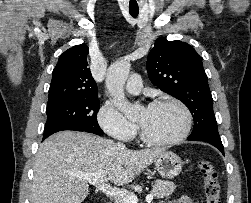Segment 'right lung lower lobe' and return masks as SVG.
I'll return each mask as SVG.
<instances>
[{
    "label": "right lung lower lobe",
    "instance_id": "98d812e1",
    "mask_svg": "<svg viewBox=\"0 0 251 203\" xmlns=\"http://www.w3.org/2000/svg\"><path fill=\"white\" fill-rule=\"evenodd\" d=\"M69 130H75V131H85L83 129H78V128H72V129H69ZM58 132V131H57ZM86 132V131H85ZM55 132H51V133H46L43 135V140H45L48 136H50L51 134H53Z\"/></svg>",
    "mask_w": 251,
    "mask_h": 203
}]
</instances>
